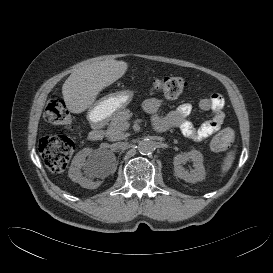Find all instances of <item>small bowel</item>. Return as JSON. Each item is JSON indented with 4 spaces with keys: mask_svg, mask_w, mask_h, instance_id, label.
Returning a JSON list of instances; mask_svg holds the SVG:
<instances>
[{
    "mask_svg": "<svg viewBox=\"0 0 273 273\" xmlns=\"http://www.w3.org/2000/svg\"><path fill=\"white\" fill-rule=\"evenodd\" d=\"M224 98L219 93H212L208 97H204L199 102V107L203 111H212V117L199 126H195L190 120L189 115L191 106L189 104H182L175 110L170 112L162 120L165 122L167 128H179L182 133L195 140L201 141L215 132H217L224 121ZM162 101L158 98H149L144 102V109L152 115L153 119H159L158 113L162 108Z\"/></svg>",
    "mask_w": 273,
    "mask_h": 273,
    "instance_id": "1",
    "label": "small bowel"
}]
</instances>
